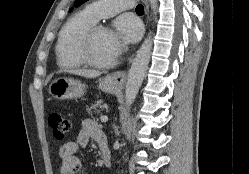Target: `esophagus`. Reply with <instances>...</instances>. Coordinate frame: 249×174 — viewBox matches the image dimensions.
<instances>
[{
    "label": "esophagus",
    "mask_w": 249,
    "mask_h": 174,
    "mask_svg": "<svg viewBox=\"0 0 249 174\" xmlns=\"http://www.w3.org/2000/svg\"><path fill=\"white\" fill-rule=\"evenodd\" d=\"M142 1L145 4V11H146V15L148 17V13H149L148 1L147 0H142ZM131 61H132V57L129 59V62H131ZM110 78L117 85L123 86L127 80V73L125 71H117V72L112 73L110 75Z\"/></svg>",
    "instance_id": "1"
}]
</instances>
